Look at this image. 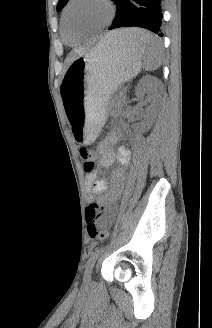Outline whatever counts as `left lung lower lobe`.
I'll use <instances>...</instances> for the list:
<instances>
[{"label": "left lung lower lobe", "mask_w": 212, "mask_h": 328, "mask_svg": "<svg viewBox=\"0 0 212 328\" xmlns=\"http://www.w3.org/2000/svg\"><path fill=\"white\" fill-rule=\"evenodd\" d=\"M116 4V16L109 30L119 27L137 26L148 29L158 36L162 22L161 0H112ZM149 46L160 44L156 37L146 42Z\"/></svg>", "instance_id": "obj_1"}]
</instances>
